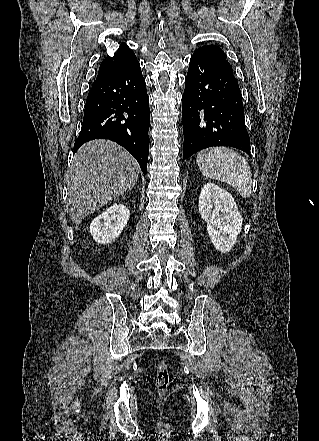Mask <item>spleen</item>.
<instances>
[{
    "label": "spleen",
    "instance_id": "1",
    "mask_svg": "<svg viewBox=\"0 0 319 441\" xmlns=\"http://www.w3.org/2000/svg\"><path fill=\"white\" fill-rule=\"evenodd\" d=\"M196 163L208 178L231 185L243 198L252 191V174L246 159L227 147H213L200 151Z\"/></svg>",
    "mask_w": 319,
    "mask_h": 441
}]
</instances>
